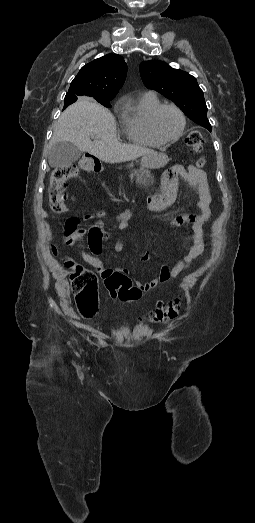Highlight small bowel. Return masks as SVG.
<instances>
[{"instance_id":"1","label":"small bowel","mask_w":255,"mask_h":523,"mask_svg":"<svg viewBox=\"0 0 255 523\" xmlns=\"http://www.w3.org/2000/svg\"><path fill=\"white\" fill-rule=\"evenodd\" d=\"M176 172L181 176L183 182L197 190V199L195 204L198 208V213L190 214L184 213L174 217L170 226L177 228L183 224H190L189 235L186 238L188 250L186 253L179 256L177 262L173 266L164 265L154 275L152 279L145 282H137V286L142 291H151L158 285L168 282L176 278L181 272L187 269L193 261H195L204 250L203 243V225L209 220L211 216V194L207 181V177L204 172L198 170L194 166H188L187 168L178 167ZM177 196V189L169 190L165 195H155L149 200V209L151 211H159L169 206ZM132 213L125 211L117 216V229L123 231L129 227V219ZM105 212H98L96 223L88 228H82L79 226V221L76 218H69L64 225V243L69 246L79 245L84 247L86 244L89 251L83 250L81 256L85 262L93 267V269L99 273L103 278L108 274L115 272L105 266L104 260L101 257L102 253V242L107 238V233L104 230L102 219L105 218ZM94 216H84V221L92 220ZM125 243L119 241L115 244L114 248L120 252L125 249ZM150 259V254L145 253L142 256V260L147 261ZM117 272L124 275L128 274L125 269H120Z\"/></svg>"}]
</instances>
